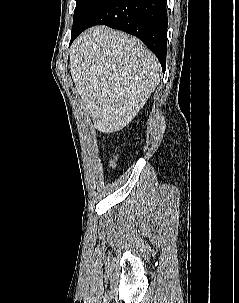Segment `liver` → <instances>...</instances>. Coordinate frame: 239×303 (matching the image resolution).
Masks as SVG:
<instances>
[{
  "instance_id": "obj_1",
  "label": "liver",
  "mask_w": 239,
  "mask_h": 303,
  "mask_svg": "<svg viewBox=\"0 0 239 303\" xmlns=\"http://www.w3.org/2000/svg\"><path fill=\"white\" fill-rule=\"evenodd\" d=\"M75 92L94 128L128 126L160 82V65L137 38L106 26L84 31L70 51Z\"/></svg>"
}]
</instances>
